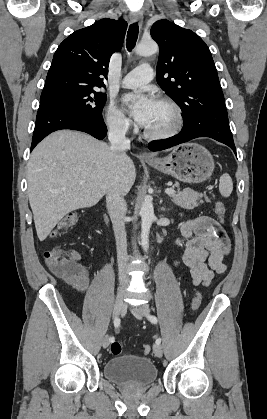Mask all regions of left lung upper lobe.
I'll return each instance as SVG.
<instances>
[{
	"label": "left lung upper lobe",
	"mask_w": 267,
	"mask_h": 419,
	"mask_svg": "<svg viewBox=\"0 0 267 419\" xmlns=\"http://www.w3.org/2000/svg\"><path fill=\"white\" fill-rule=\"evenodd\" d=\"M151 36L160 52L157 83L181 108L183 122L210 111H226L211 52L194 32L159 20Z\"/></svg>",
	"instance_id": "obj_1"
}]
</instances>
